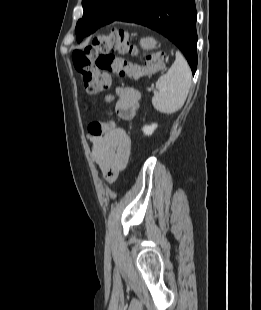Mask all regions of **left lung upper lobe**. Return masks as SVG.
I'll list each match as a JSON object with an SVG mask.
<instances>
[{
    "instance_id": "left-lung-upper-lobe-1",
    "label": "left lung upper lobe",
    "mask_w": 261,
    "mask_h": 310,
    "mask_svg": "<svg viewBox=\"0 0 261 310\" xmlns=\"http://www.w3.org/2000/svg\"><path fill=\"white\" fill-rule=\"evenodd\" d=\"M129 0H82L84 14L77 22L75 32L79 35L86 23H110L126 7Z\"/></svg>"
}]
</instances>
